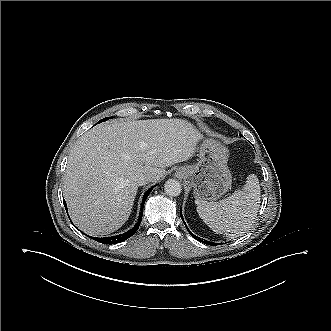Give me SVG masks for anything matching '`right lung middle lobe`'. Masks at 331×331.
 <instances>
[{
    "instance_id": "right-lung-middle-lobe-1",
    "label": "right lung middle lobe",
    "mask_w": 331,
    "mask_h": 331,
    "mask_svg": "<svg viewBox=\"0 0 331 331\" xmlns=\"http://www.w3.org/2000/svg\"><path fill=\"white\" fill-rule=\"evenodd\" d=\"M110 118H113V117H107V118H104V119L100 120L98 123H100V122H104V121H106L107 119H110Z\"/></svg>"
}]
</instances>
